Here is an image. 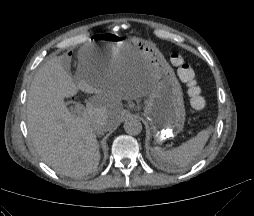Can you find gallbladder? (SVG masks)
<instances>
[{"label": "gallbladder", "mask_w": 254, "mask_h": 216, "mask_svg": "<svg viewBox=\"0 0 254 216\" xmlns=\"http://www.w3.org/2000/svg\"><path fill=\"white\" fill-rule=\"evenodd\" d=\"M63 65H64L65 68L68 67V64L66 63V59H65V58H64V60H63Z\"/></svg>", "instance_id": "bac80fb5"}]
</instances>
